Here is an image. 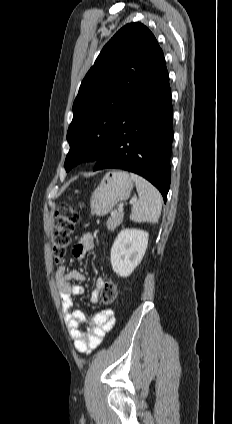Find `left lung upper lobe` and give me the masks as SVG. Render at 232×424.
Returning a JSON list of instances; mask_svg holds the SVG:
<instances>
[{
    "label": "left lung upper lobe",
    "instance_id": "left-lung-upper-lobe-1",
    "mask_svg": "<svg viewBox=\"0 0 232 424\" xmlns=\"http://www.w3.org/2000/svg\"><path fill=\"white\" fill-rule=\"evenodd\" d=\"M163 58L156 38L139 22L122 27L104 46L73 104L66 171L97 160L125 107Z\"/></svg>",
    "mask_w": 232,
    "mask_h": 424
}]
</instances>
